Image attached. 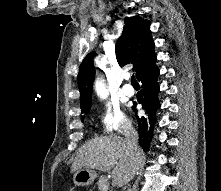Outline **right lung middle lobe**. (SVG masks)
<instances>
[{"mask_svg": "<svg viewBox=\"0 0 221 191\" xmlns=\"http://www.w3.org/2000/svg\"><path fill=\"white\" fill-rule=\"evenodd\" d=\"M89 111H86V112H82V113H88ZM81 120L83 121L84 120V116H81Z\"/></svg>", "mask_w": 221, "mask_h": 191, "instance_id": "right-lung-middle-lobe-1", "label": "right lung middle lobe"}]
</instances>
